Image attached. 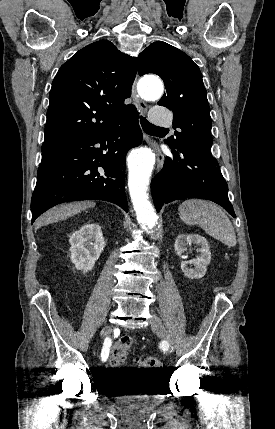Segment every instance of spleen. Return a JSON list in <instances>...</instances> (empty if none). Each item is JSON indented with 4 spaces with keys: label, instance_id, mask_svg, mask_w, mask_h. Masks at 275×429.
Returning <instances> with one entry per match:
<instances>
[{
    "label": "spleen",
    "instance_id": "spleen-1",
    "mask_svg": "<svg viewBox=\"0 0 275 429\" xmlns=\"http://www.w3.org/2000/svg\"><path fill=\"white\" fill-rule=\"evenodd\" d=\"M179 216L187 225H198L207 234L228 247L237 243L228 216L217 205L201 199H189L179 206Z\"/></svg>",
    "mask_w": 275,
    "mask_h": 429
}]
</instances>
